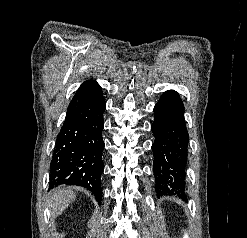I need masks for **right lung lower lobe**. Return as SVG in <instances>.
Instances as JSON below:
<instances>
[{"mask_svg":"<svg viewBox=\"0 0 247 238\" xmlns=\"http://www.w3.org/2000/svg\"><path fill=\"white\" fill-rule=\"evenodd\" d=\"M106 103L94 80L84 82L72 98L57 137L51 162L50 186L77 185L102 200L103 112Z\"/></svg>","mask_w":247,"mask_h":238,"instance_id":"98d812e1","label":"right lung lower lobe"}]
</instances>
